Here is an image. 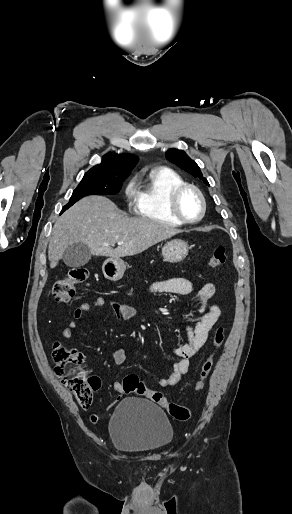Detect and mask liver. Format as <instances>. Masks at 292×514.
<instances>
[{
	"label": "liver",
	"mask_w": 292,
	"mask_h": 514,
	"mask_svg": "<svg viewBox=\"0 0 292 514\" xmlns=\"http://www.w3.org/2000/svg\"><path fill=\"white\" fill-rule=\"evenodd\" d=\"M180 232L183 230L149 218H128L104 196H87L57 220L48 246L50 268H55L65 248L76 242L87 244L93 256L124 258L141 254ZM117 242L123 244L113 250Z\"/></svg>",
	"instance_id": "obj_1"
}]
</instances>
